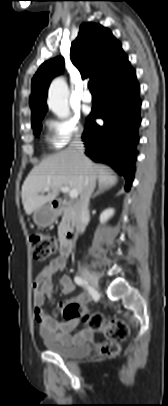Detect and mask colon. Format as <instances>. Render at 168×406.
Here are the masks:
<instances>
[{
	"label": "colon",
	"instance_id": "colon-1",
	"mask_svg": "<svg viewBox=\"0 0 168 406\" xmlns=\"http://www.w3.org/2000/svg\"><path fill=\"white\" fill-rule=\"evenodd\" d=\"M30 246L33 258L37 261H44L55 255L57 251L56 239L42 232H36L30 236ZM78 315L79 311L75 307L67 306L64 310V317L67 320ZM81 318L89 330L100 332L107 338V342L101 345V354L116 355L119 351V342L126 339L129 334L126 323L120 319H106L100 312H86Z\"/></svg>",
	"mask_w": 168,
	"mask_h": 406
}]
</instances>
